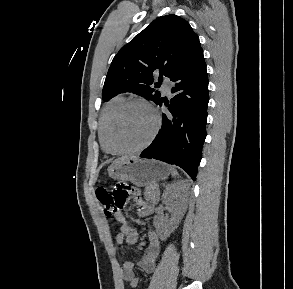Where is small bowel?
<instances>
[{
	"label": "small bowel",
	"mask_w": 293,
	"mask_h": 289,
	"mask_svg": "<svg viewBox=\"0 0 293 289\" xmlns=\"http://www.w3.org/2000/svg\"><path fill=\"white\" fill-rule=\"evenodd\" d=\"M139 202V212L142 217H147L153 214L154 208L151 205ZM115 219L121 224L119 232L116 234L115 240L118 244L133 245L138 241V232L125 219L122 212L118 211L114 214ZM160 240L155 231H149L148 244L145 248L144 256L139 260L140 268L150 273L152 272L160 258ZM122 280L130 287L135 288L138 285V278L134 273V264L131 261H125L121 267Z\"/></svg>",
	"instance_id": "obj_1"
}]
</instances>
